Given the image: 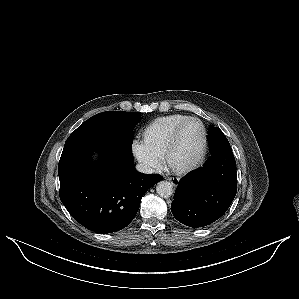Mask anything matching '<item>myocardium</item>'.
<instances>
[{"label": "myocardium", "instance_id": "myocardium-1", "mask_svg": "<svg viewBox=\"0 0 299 299\" xmlns=\"http://www.w3.org/2000/svg\"><path fill=\"white\" fill-rule=\"evenodd\" d=\"M192 122L198 123L202 130V144H201L199 155L197 156L195 161L192 162L190 165L183 167V168H179V169L173 168L169 164V154L174 147V144H175V141L177 139L179 132L186 125H188L189 123H192ZM206 149H207V132H206V128H205L203 122L200 119L195 118V117L188 118L187 120L182 122L178 127H176V129L172 132V134L165 146L163 156H162L164 166L166 167V169H168L169 171H171L172 173H174L176 175L187 174V173L193 171L194 169H196L201 164V162L203 161V159L205 157Z\"/></svg>", "mask_w": 299, "mask_h": 299}]
</instances>
